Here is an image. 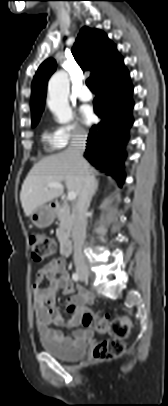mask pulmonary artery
I'll use <instances>...</instances> for the list:
<instances>
[{
  "label": "pulmonary artery",
  "mask_w": 168,
  "mask_h": 406,
  "mask_svg": "<svg viewBox=\"0 0 168 406\" xmlns=\"http://www.w3.org/2000/svg\"><path fill=\"white\" fill-rule=\"evenodd\" d=\"M78 97L81 101L88 102L92 100V93L86 86H83L78 93Z\"/></svg>",
  "instance_id": "obj_1"
}]
</instances>
